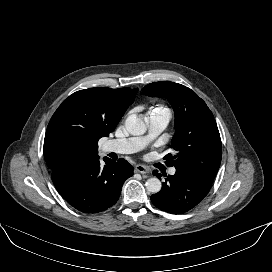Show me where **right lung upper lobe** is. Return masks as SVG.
Returning a JSON list of instances; mask_svg holds the SVG:
<instances>
[{
	"label": "right lung upper lobe",
	"mask_w": 272,
	"mask_h": 272,
	"mask_svg": "<svg viewBox=\"0 0 272 272\" xmlns=\"http://www.w3.org/2000/svg\"><path fill=\"white\" fill-rule=\"evenodd\" d=\"M138 89L90 88L70 95L53 114L44 139L50 170L74 167L98 157V140L109 136Z\"/></svg>",
	"instance_id": "right-lung-upper-lobe-1"
}]
</instances>
